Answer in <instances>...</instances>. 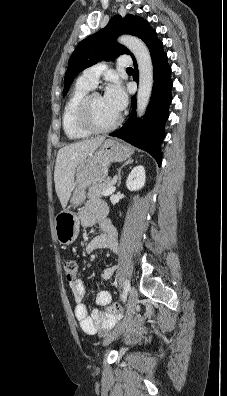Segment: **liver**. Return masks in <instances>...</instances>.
Here are the masks:
<instances>
[{"instance_id":"obj_1","label":"liver","mask_w":227,"mask_h":396,"mask_svg":"<svg viewBox=\"0 0 227 396\" xmlns=\"http://www.w3.org/2000/svg\"><path fill=\"white\" fill-rule=\"evenodd\" d=\"M105 141V137L87 139L69 144L58 151L54 182L55 190L63 208L67 206L71 196L76 168L90 153L97 150Z\"/></svg>"}]
</instances>
